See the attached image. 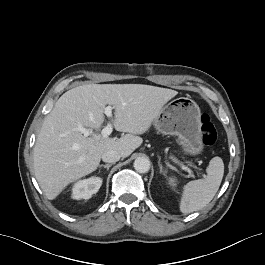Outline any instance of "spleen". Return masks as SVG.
I'll use <instances>...</instances> for the list:
<instances>
[{
    "label": "spleen",
    "mask_w": 265,
    "mask_h": 265,
    "mask_svg": "<svg viewBox=\"0 0 265 265\" xmlns=\"http://www.w3.org/2000/svg\"><path fill=\"white\" fill-rule=\"evenodd\" d=\"M204 179L188 182L183 187L179 208L184 214L201 210L207 206L217 193L224 175V163L218 156L212 158L206 169Z\"/></svg>",
    "instance_id": "1"
}]
</instances>
